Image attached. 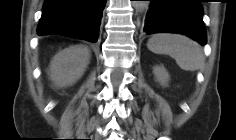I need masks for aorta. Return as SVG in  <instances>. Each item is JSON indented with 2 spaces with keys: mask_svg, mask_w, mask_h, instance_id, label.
<instances>
[{
  "mask_svg": "<svg viewBox=\"0 0 236 140\" xmlns=\"http://www.w3.org/2000/svg\"><path fill=\"white\" fill-rule=\"evenodd\" d=\"M149 4V1H134L135 8L141 12L148 9Z\"/></svg>",
  "mask_w": 236,
  "mask_h": 140,
  "instance_id": "aorta-1",
  "label": "aorta"
}]
</instances>
